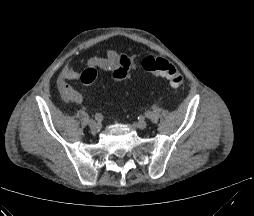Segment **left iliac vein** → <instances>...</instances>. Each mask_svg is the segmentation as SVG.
<instances>
[{
  "label": "left iliac vein",
  "mask_w": 254,
  "mask_h": 216,
  "mask_svg": "<svg viewBox=\"0 0 254 216\" xmlns=\"http://www.w3.org/2000/svg\"><path fill=\"white\" fill-rule=\"evenodd\" d=\"M136 127L139 129H145L147 127V123L144 120H141L136 123Z\"/></svg>",
  "instance_id": "obj_1"
}]
</instances>
